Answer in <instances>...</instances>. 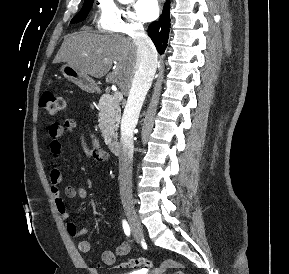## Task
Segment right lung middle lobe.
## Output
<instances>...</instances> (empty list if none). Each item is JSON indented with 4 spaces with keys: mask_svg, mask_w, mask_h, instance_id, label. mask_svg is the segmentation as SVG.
Here are the masks:
<instances>
[{
    "mask_svg": "<svg viewBox=\"0 0 289 274\" xmlns=\"http://www.w3.org/2000/svg\"><path fill=\"white\" fill-rule=\"evenodd\" d=\"M93 0H85L82 10L77 14L71 21V23H77L86 19L91 7Z\"/></svg>",
    "mask_w": 289,
    "mask_h": 274,
    "instance_id": "1",
    "label": "right lung middle lobe"
}]
</instances>
